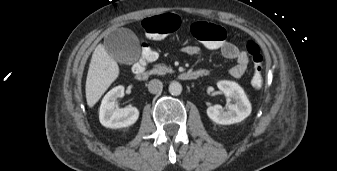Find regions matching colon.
<instances>
[{
    "label": "colon",
    "mask_w": 337,
    "mask_h": 171,
    "mask_svg": "<svg viewBox=\"0 0 337 171\" xmlns=\"http://www.w3.org/2000/svg\"><path fill=\"white\" fill-rule=\"evenodd\" d=\"M143 28L148 37L158 40L167 34L176 31L180 26V18L173 14L148 17L142 22ZM191 33L201 41L205 49L218 50L224 45L226 31L223 27L212 23L197 21L191 26ZM140 66L145 64H155L157 62L156 49L151 41H144L141 45ZM246 51L253 63V76L251 83L255 88H261L264 82V58L259 45L249 40L246 43Z\"/></svg>",
    "instance_id": "obj_1"
}]
</instances>
